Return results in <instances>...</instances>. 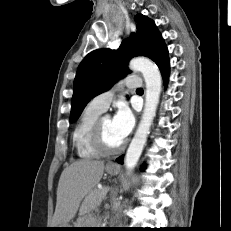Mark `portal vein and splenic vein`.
Segmentation results:
<instances>
[{"label": "portal vein and splenic vein", "mask_w": 231, "mask_h": 231, "mask_svg": "<svg viewBox=\"0 0 231 231\" xmlns=\"http://www.w3.org/2000/svg\"><path fill=\"white\" fill-rule=\"evenodd\" d=\"M104 190H105V192H107L108 191V187H106Z\"/></svg>", "instance_id": "18ae733b"}]
</instances>
